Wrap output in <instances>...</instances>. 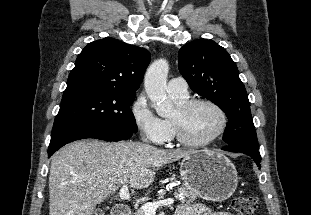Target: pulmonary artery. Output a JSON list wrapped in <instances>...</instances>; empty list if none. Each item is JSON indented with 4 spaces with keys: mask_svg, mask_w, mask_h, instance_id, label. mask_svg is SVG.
<instances>
[{
    "mask_svg": "<svg viewBox=\"0 0 311 215\" xmlns=\"http://www.w3.org/2000/svg\"><path fill=\"white\" fill-rule=\"evenodd\" d=\"M167 91L169 94L186 96L188 95V84L181 77H174L168 81Z\"/></svg>",
    "mask_w": 311,
    "mask_h": 215,
    "instance_id": "pulmonary-artery-1",
    "label": "pulmonary artery"
}]
</instances>
